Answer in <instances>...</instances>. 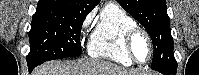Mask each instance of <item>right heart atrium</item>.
<instances>
[{"instance_id":"right-heart-atrium-1","label":"right heart atrium","mask_w":199,"mask_h":75,"mask_svg":"<svg viewBox=\"0 0 199 75\" xmlns=\"http://www.w3.org/2000/svg\"><path fill=\"white\" fill-rule=\"evenodd\" d=\"M91 21H92V17L91 16H87L86 19L84 20V22L82 23V26H81V37H83L84 34L87 32Z\"/></svg>"}]
</instances>
